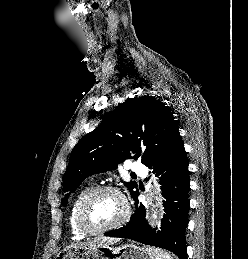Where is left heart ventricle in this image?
Here are the masks:
<instances>
[{"mask_svg": "<svg viewBox=\"0 0 248 259\" xmlns=\"http://www.w3.org/2000/svg\"><path fill=\"white\" fill-rule=\"evenodd\" d=\"M124 212L121 199L113 193L96 197L87 210V220L94 227H102L117 221Z\"/></svg>", "mask_w": 248, "mask_h": 259, "instance_id": "left-heart-ventricle-1", "label": "left heart ventricle"}]
</instances>
